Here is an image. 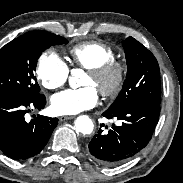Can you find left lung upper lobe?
<instances>
[{"instance_id": "left-lung-upper-lobe-1", "label": "left lung upper lobe", "mask_w": 183, "mask_h": 183, "mask_svg": "<svg viewBox=\"0 0 183 183\" xmlns=\"http://www.w3.org/2000/svg\"><path fill=\"white\" fill-rule=\"evenodd\" d=\"M127 60V76L123 89L108 110L131 103L160 105V69L154 55L133 37L122 42Z\"/></svg>"}]
</instances>
